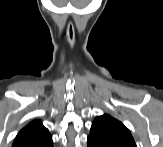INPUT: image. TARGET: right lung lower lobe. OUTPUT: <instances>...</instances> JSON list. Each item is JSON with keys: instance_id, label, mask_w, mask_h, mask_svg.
Masks as SVG:
<instances>
[{"instance_id": "right-lung-lower-lobe-1", "label": "right lung lower lobe", "mask_w": 163, "mask_h": 147, "mask_svg": "<svg viewBox=\"0 0 163 147\" xmlns=\"http://www.w3.org/2000/svg\"><path fill=\"white\" fill-rule=\"evenodd\" d=\"M52 137L40 139H27L13 143V147H52Z\"/></svg>"}]
</instances>
